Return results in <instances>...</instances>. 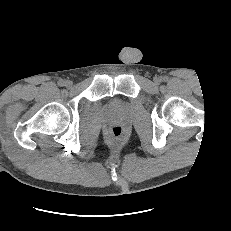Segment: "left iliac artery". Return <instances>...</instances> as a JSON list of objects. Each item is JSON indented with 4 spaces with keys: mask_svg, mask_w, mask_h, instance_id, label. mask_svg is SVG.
<instances>
[{
    "mask_svg": "<svg viewBox=\"0 0 231 231\" xmlns=\"http://www.w3.org/2000/svg\"><path fill=\"white\" fill-rule=\"evenodd\" d=\"M163 81H167V77H163Z\"/></svg>",
    "mask_w": 231,
    "mask_h": 231,
    "instance_id": "obj_1",
    "label": "left iliac artery"
}]
</instances>
